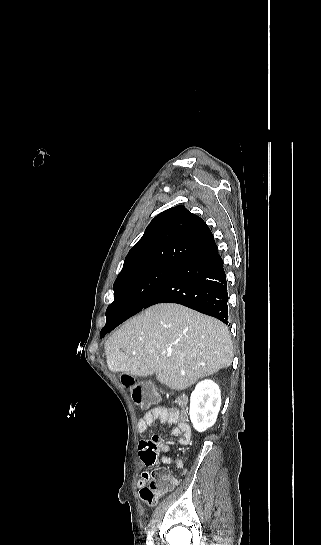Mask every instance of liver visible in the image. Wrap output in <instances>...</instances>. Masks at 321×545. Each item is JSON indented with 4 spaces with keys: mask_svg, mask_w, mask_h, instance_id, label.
Wrapping results in <instances>:
<instances>
[{
    "mask_svg": "<svg viewBox=\"0 0 321 545\" xmlns=\"http://www.w3.org/2000/svg\"><path fill=\"white\" fill-rule=\"evenodd\" d=\"M104 351L112 373H156L157 381L174 391L230 367L234 357L226 325L175 303L153 305L124 323L105 341Z\"/></svg>",
    "mask_w": 321,
    "mask_h": 545,
    "instance_id": "liver-1",
    "label": "liver"
}]
</instances>
